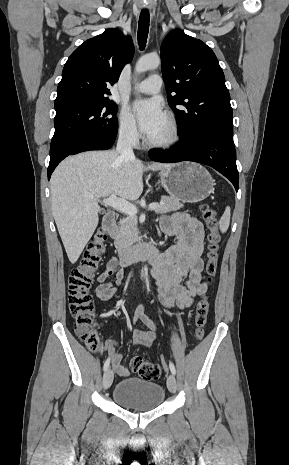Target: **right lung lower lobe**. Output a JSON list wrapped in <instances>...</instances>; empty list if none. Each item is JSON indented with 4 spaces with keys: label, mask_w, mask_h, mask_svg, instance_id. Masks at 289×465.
Returning <instances> with one entry per match:
<instances>
[{
    "label": "right lung lower lobe",
    "mask_w": 289,
    "mask_h": 465,
    "mask_svg": "<svg viewBox=\"0 0 289 465\" xmlns=\"http://www.w3.org/2000/svg\"><path fill=\"white\" fill-rule=\"evenodd\" d=\"M117 134V133H116ZM115 135L105 136V137H87L82 139L72 146L58 152L54 156L50 157V163L48 167V179H50L52 172L56 166L68 155L77 154L83 151L89 150H106L109 149L116 138Z\"/></svg>",
    "instance_id": "obj_1"
}]
</instances>
